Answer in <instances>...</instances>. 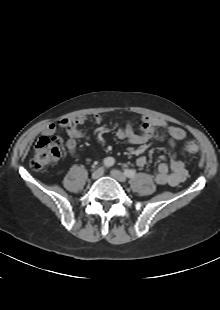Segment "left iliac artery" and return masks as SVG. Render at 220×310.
<instances>
[{"instance_id":"left-iliac-artery-1","label":"left iliac artery","mask_w":220,"mask_h":310,"mask_svg":"<svg viewBox=\"0 0 220 310\" xmlns=\"http://www.w3.org/2000/svg\"><path fill=\"white\" fill-rule=\"evenodd\" d=\"M136 172L135 170H125V175L129 178H133L135 176Z\"/></svg>"}]
</instances>
